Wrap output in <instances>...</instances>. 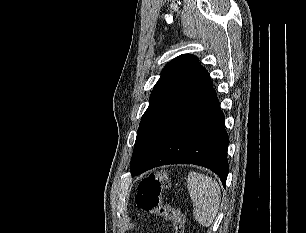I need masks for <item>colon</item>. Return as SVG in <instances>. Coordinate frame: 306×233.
I'll use <instances>...</instances> for the list:
<instances>
[{
    "label": "colon",
    "mask_w": 306,
    "mask_h": 233,
    "mask_svg": "<svg viewBox=\"0 0 306 233\" xmlns=\"http://www.w3.org/2000/svg\"><path fill=\"white\" fill-rule=\"evenodd\" d=\"M168 184L165 170H158L144 179L137 186V206L151 214L161 216L173 223L175 233H185L186 218L177 208L166 204L163 200V189Z\"/></svg>",
    "instance_id": "1"
}]
</instances>
